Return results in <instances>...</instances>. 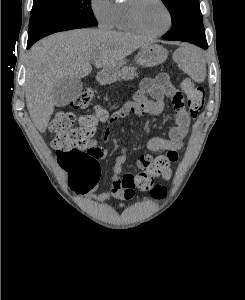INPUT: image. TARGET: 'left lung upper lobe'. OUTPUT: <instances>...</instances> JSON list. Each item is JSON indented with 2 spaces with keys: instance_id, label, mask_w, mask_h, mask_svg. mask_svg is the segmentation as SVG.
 I'll list each match as a JSON object with an SVG mask.
<instances>
[{
  "instance_id": "obj_1",
  "label": "left lung upper lobe",
  "mask_w": 245,
  "mask_h": 300,
  "mask_svg": "<svg viewBox=\"0 0 245 300\" xmlns=\"http://www.w3.org/2000/svg\"><path fill=\"white\" fill-rule=\"evenodd\" d=\"M172 18V29L164 35L183 37L195 32H205L199 0H162Z\"/></svg>"
}]
</instances>
